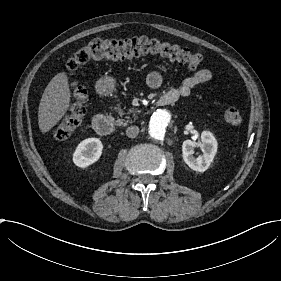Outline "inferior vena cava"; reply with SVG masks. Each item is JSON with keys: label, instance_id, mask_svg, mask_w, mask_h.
Wrapping results in <instances>:
<instances>
[{"label": "inferior vena cava", "instance_id": "602c4592", "mask_svg": "<svg viewBox=\"0 0 281 281\" xmlns=\"http://www.w3.org/2000/svg\"><path fill=\"white\" fill-rule=\"evenodd\" d=\"M139 133V128L137 126H130L126 129V136L129 138L137 137Z\"/></svg>", "mask_w": 281, "mask_h": 281}]
</instances>
